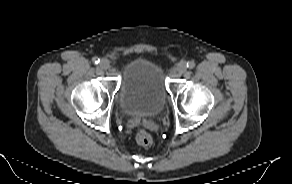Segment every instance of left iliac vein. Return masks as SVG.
<instances>
[{
	"instance_id": "left-iliac-vein-1",
	"label": "left iliac vein",
	"mask_w": 292,
	"mask_h": 184,
	"mask_svg": "<svg viewBox=\"0 0 292 184\" xmlns=\"http://www.w3.org/2000/svg\"><path fill=\"white\" fill-rule=\"evenodd\" d=\"M176 72L179 74H183L187 70V64L185 61H180L175 68Z\"/></svg>"
}]
</instances>
